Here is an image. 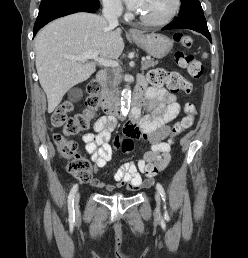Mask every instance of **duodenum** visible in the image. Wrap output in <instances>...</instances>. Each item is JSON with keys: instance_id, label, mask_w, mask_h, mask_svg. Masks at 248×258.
<instances>
[{"instance_id": "410a0bca", "label": "duodenum", "mask_w": 248, "mask_h": 258, "mask_svg": "<svg viewBox=\"0 0 248 258\" xmlns=\"http://www.w3.org/2000/svg\"><path fill=\"white\" fill-rule=\"evenodd\" d=\"M107 74L104 70H99L96 73L95 80L100 85L99 100L101 109L108 115L117 118H124L122 112V105L118 99L111 97L103 88V84L106 81ZM144 83L139 81L134 89L132 95V107L129 119H131L134 113L140 108V101L143 96Z\"/></svg>"}]
</instances>
